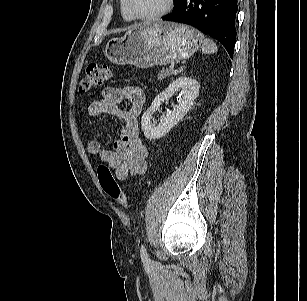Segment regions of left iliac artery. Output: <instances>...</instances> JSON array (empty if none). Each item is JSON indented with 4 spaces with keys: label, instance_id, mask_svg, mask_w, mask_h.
<instances>
[{
    "label": "left iliac artery",
    "instance_id": "obj_1",
    "mask_svg": "<svg viewBox=\"0 0 307 301\" xmlns=\"http://www.w3.org/2000/svg\"><path fill=\"white\" fill-rule=\"evenodd\" d=\"M140 256H141V260H142L143 263H145V264L150 263V259L148 257V254H147V251H146L144 244L141 245Z\"/></svg>",
    "mask_w": 307,
    "mask_h": 301
}]
</instances>
